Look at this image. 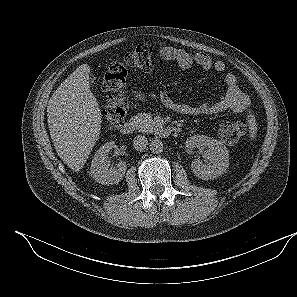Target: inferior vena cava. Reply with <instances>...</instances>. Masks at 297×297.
Segmentation results:
<instances>
[{"instance_id":"1","label":"inferior vena cava","mask_w":297,"mask_h":297,"mask_svg":"<svg viewBox=\"0 0 297 297\" xmlns=\"http://www.w3.org/2000/svg\"><path fill=\"white\" fill-rule=\"evenodd\" d=\"M148 140L143 135H137L133 139V146L137 151H143L147 148Z\"/></svg>"}]
</instances>
